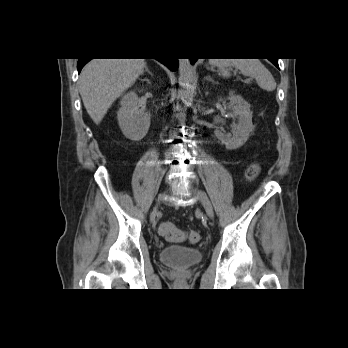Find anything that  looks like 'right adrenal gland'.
I'll use <instances>...</instances> for the list:
<instances>
[{"label":"right adrenal gland","mask_w":348,"mask_h":348,"mask_svg":"<svg viewBox=\"0 0 348 348\" xmlns=\"http://www.w3.org/2000/svg\"><path fill=\"white\" fill-rule=\"evenodd\" d=\"M145 71L147 72V73H149L151 76H153V74L149 71V69H148V67L145 65Z\"/></svg>","instance_id":"2a0ac1e0"}]
</instances>
